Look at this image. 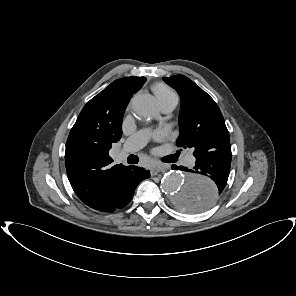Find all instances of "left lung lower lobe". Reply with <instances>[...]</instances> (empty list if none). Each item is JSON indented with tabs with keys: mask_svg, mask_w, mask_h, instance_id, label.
Here are the masks:
<instances>
[{
	"mask_svg": "<svg viewBox=\"0 0 296 296\" xmlns=\"http://www.w3.org/2000/svg\"><path fill=\"white\" fill-rule=\"evenodd\" d=\"M231 146L223 147L218 152L206 153L205 156L196 158L193 169L183 166L173 165V169H179L189 172L190 178L195 176H209L216 184L214 191H204L200 193L201 198L196 199L194 196L186 197L185 208L192 213L201 212L208 209L219 197L224 190L231 165Z\"/></svg>",
	"mask_w": 296,
	"mask_h": 296,
	"instance_id": "left-lung-lower-lobe-1",
	"label": "left lung lower lobe"
}]
</instances>
